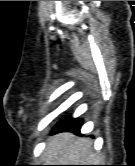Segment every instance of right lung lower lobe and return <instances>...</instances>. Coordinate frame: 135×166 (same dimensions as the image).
<instances>
[{
    "label": "right lung lower lobe",
    "mask_w": 135,
    "mask_h": 166,
    "mask_svg": "<svg viewBox=\"0 0 135 166\" xmlns=\"http://www.w3.org/2000/svg\"><path fill=\"white\" fill-rule=\"evenodd\" d=\"M82 124H83V119L81 118H72V117L63 118L53 127L51 133L54 134L61 131L78 133L80 131Z\"/></svg>",
    "instance_id": "right-lung-lower-lobe-1"
}]
</instances>
